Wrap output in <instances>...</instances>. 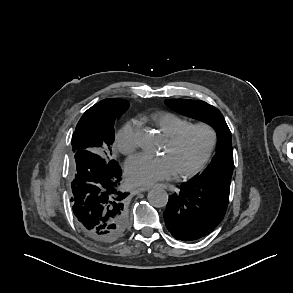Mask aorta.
I'll return each mask as SVG.
<instances>
[{
	"mask_svg": "<svg viewBox=\"0 0 293 293\" xmlns=\"http://www.w3.org/2000/svg\"><path fill=\"white\" fill-rule=\"evenodd\" d=\"M139 147L146 151H153L157 147V138L151 132H142L137 139ZM148 201L154 207H164L168 202V194L164 189H152L148 193Z\"/></svg>",
	"mask_w": 293,
	"mask_h": 293,
	"instance_id": "aorta-1",
	"label": "aorta"
}]
</instances>
